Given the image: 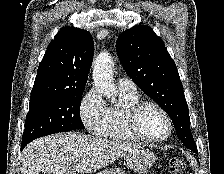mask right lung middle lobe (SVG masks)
<instances>
[{"label":"right lung middle lobe","mask_w":224,"mask_h":174,"mask_svg":"<svg viewBox=\"0 0 224 174\" xmlns=\"http://www.w3.org/2000/svg\"><path fill=\"white\" fill-rule=\"evenodd\" d=\"M82 93L31 96L22 143L58 132L84 129L80 118Z\"/></svg>","instance_id":"1"}]
</instances>
